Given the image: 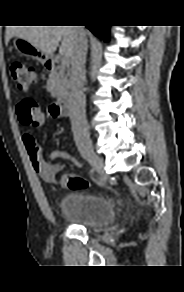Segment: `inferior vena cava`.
<instances>
[{"instance_id":"1","label":"inferior vena cava","mask_w":184,"mask_h":292,"mask_svg":"<svg viewBox=\"0 0 184 292\" xmlns=\"http://www.w3.org/2000/svg\"><path fill=\"white\" fill-rule=\"evenodd\" d=\"M78 39L71 56L70 96L71 124L74 140L80 152L91 151L92 142L87 127L85 114V95L83 86L86 80L85 62L87 55V38L83 26H76Z\"/></svg>"}]
</instances>
